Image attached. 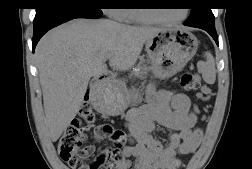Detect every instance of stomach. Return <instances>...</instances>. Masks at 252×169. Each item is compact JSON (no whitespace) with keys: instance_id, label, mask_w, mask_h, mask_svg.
I'll return each instance as SVG.
<instances>
[{"instance_id":"1","label":"stomach","mask_w":252,"mask_h":169,"mask_svg":"<svg viewBox=\"0 0 252 169\" xmlns=\"http://www.w3.org/2000/svg\"><path fill=\"white\" fill-rule=\"evenodd\" d=\"M147 57L153 74L161 79L169 78L181 71L196 54L198 41L189 31L179 28H163L145 42ZM99 110L117 116L130 105L140 102V92L114 83L96 94Z\"/></svg>"}]
</instances>
